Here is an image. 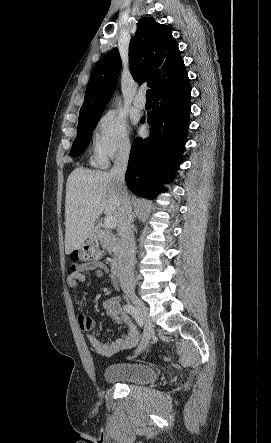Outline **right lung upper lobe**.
Instances as JSON below:
<instances>
[{
  "instance_id": "obj_1",
  "label": "right lung upper lobe",
  "mask_w": 271,
  "mask_h": 443,
  "mask_svg": "<svg viewBox=\"0 0 271 443\" xmlns=\"http://www.w3.org/2000/svg\"><path fill=\"white\" fill-rule=\"evenodd\" d=\"M129 64L133 78L139 84L148 81L153 95L188 78L171 28L151 17L138 22L129 44ZM120 70V54L113 48L93 67L79 119L101 116L115 91Z\"/></svg>"
}]
</instances>
